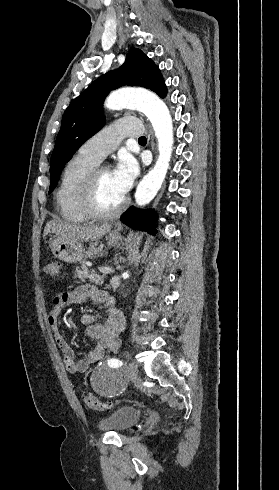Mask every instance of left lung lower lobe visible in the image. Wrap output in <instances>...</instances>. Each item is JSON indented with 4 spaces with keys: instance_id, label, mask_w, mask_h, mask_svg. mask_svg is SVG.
Segmentation results:
<instances>
[{
    "instance_id": "obj_1",
    "label": "left lung lower lobe",
    "mask_w": 279,
    "mask_h": 490,
    "mask_svg": "<svg viewBox=\"0 0 279 490\" xmlns=\"http://www.w3.org/2000/svg\"><path fill=\"white\" fill-rule=\"evenodd\" d=\"M156 214L152 211H141L134 207H130L122 214L120 220L129 227L146 231L150 234H155L156 230Z\"/></svg>"
}]
</instances>
